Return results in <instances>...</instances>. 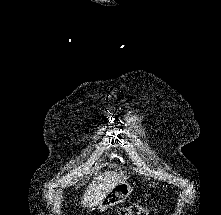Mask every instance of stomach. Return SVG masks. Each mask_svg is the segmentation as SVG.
I'll return each instance as SVG.
<instances>
[{"label": "stomach", "instance_id": "obj_1", "mask_svg": "<svg viewBox=\"0 0 221 215\" xmlns=\"http://www.w3.org/2000/svg\"><path fill=\"white\" fill-rule=\"evenodd\" d=\"M132 193V187L129 183L122 182L115 186L98 205V209L103 212L108 208L124 202Z\"/></svg>", "mask_w": 221, "mask_h": 215}]
</instances>
